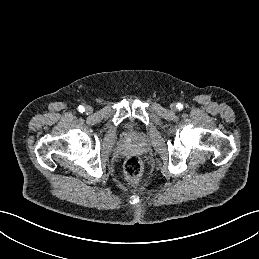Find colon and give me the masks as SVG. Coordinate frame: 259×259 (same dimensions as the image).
Returning <instances> with one entry per match:
<instances>
[{
  "label": "colon",
  "mask_w": 259,
  "mask_h": 259,
  "mask_svg": "<svg viewBox=\"0 0 259 259\" xmlns=\"http://www.w3.org/2000/svg\"><path fill=\"white\" fill-rule=\"evenodd\" d=\"M143 171L141 160L137 156H130L124 163V175L130 183H136Z\"/></svg>",
  "instance_id": "5ec220e1"
}]
</instances>
